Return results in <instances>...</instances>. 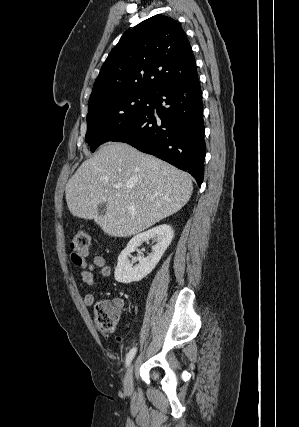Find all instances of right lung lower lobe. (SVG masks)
<instances>
[{"label":"right lung lower lobe","mask_w":299,"mask_h":427,"mask_svg":"<svg viewBox=\"0 0 299 427\" xmlns=\"http://www.w3.org/2000/svg\"><path fill=\"white\" fill-rule=\"evenodd\" d=\"M111 141L128 143L188 171L200 186L206 150L202 92L197 75L158 89L148 110Z\"/></svg>","instance_id":"obj_1"}]
</instances>
